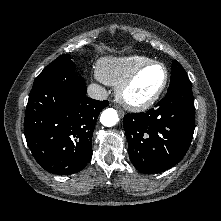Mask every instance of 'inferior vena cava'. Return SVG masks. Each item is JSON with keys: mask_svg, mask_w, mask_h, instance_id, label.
<instances>
[{"mask_svg": "<svg viewBox=\"0 0 221 221\" xmlns=\"http://www.w3.org/2000/svg\"><path fill=\"white\" fill-rule=\"evenodd\" d=\"M88 96L96 100H105L108 97L106 89L98 84H91L87 88Z\"/></svg>", "mask_w": 221, "mask_h": 221, "instance_id": "inferior-vena-cava-1", "label": "inferior vena cava"}]
</instances>
